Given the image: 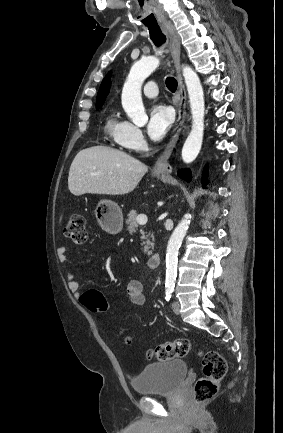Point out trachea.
I'll return each mask as SVG.
<instances>
[{"instance_id":"trachea-1","label":"trachea","mask_w":283,"mask_h":433,"mask_svg":"<svg viewBox=\"0 0 283 433\" xmlns=\"http://www.w3.org/2000/svg\"><path fill=\"white\" fill-rule=\"evenodd\" d=\"M150 38L152 42L155 44L156 48H161L166 43V37L162 33L159 25H147ZM166 86L170 90V92H175L178 86L177 80L174 77H167Z\"/></svg>"}]
</instances>
